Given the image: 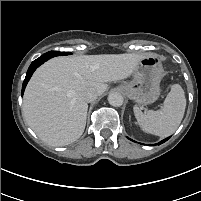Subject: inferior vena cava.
Wrapping results in <instances>:
<instances>
[{
  "label": "inferior vena cava",
  "instance_id": "obj_1",
  "mask_svg": "<svg viewBox=\"0 0 201 201\" xmlns=\"http://www.w3.org/2000/svg\"><path fill=\"white\" fill-rule=\"evenodd\" d=\"M82 97L87 102H92L97 98V93L94 89L89 88L82 92Z\"/></svg>",
  "mask_w": 201,
  "mask_h": 201
}]
</instances>
